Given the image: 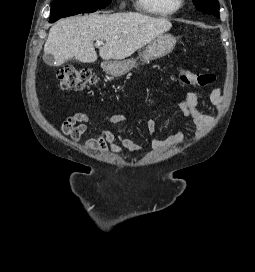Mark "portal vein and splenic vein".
I'll return each instance as SVG.
<instances>
[{"label": "portal vein and splenic vein", "instance_id": "1", "mask_svg": "<svg viewBox=\"0 0 255 272\" xmlns=\"http://www.w3.org/2000/svg\"><path fill=\"white\" fill-rule=\"evenodd\" d=\"M95 45L101 46V45H103V41L102 40H97Z\"/></svg>", "mask_w": 255, "mask_h": 272}]
</instances>
